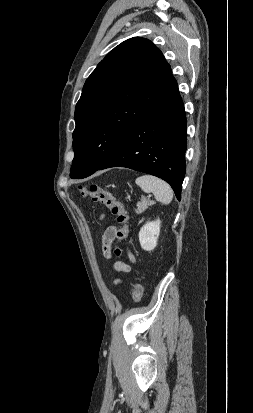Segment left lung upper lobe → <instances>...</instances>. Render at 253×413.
I'll return each mask as SVG.
<instances>
[{"instance_id": "left-lung-upper-lobe-1", "label": "left lung upper lobe", "mask_w": 253, "mask_h": 413, "mask_svg": "<svg viewBox=\"0 0 253 413\" xmlns=\"http://www.w3.org/2000/svg\"><path fill=\"white\" fill-rule=\"evenodd\" d=\"M172 79L163 54L147 39H128L109 52L86 80L75 108L70 177L98 170Z\"/></svg>"}]
</instances>
